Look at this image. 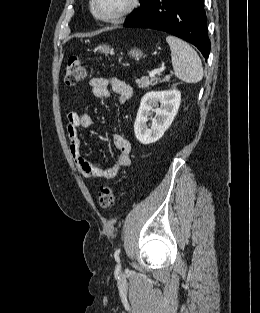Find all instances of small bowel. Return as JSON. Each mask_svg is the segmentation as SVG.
Returning a JSON list of instances; mask_svg holds the SVG:
<instances>
[{"instance_id":"small-bowel-1","label":"small bowel","mask_w":260,"mask_h":313,"mask_svg":"<svg viewBox=\"0 0 260 313\" xmlns=\"http://www.w3.org/2000/svg\"><path fill=\"white\" fill-rule=\"evenodd\" d=\"M92 94L97 98H108L111 92L118 96L120 104H125L132 96L131 87L118 78L95 77L90 81ZM67 134L69 151L75 162L78 172L86 179H114L119 173L131 165V143L122 134H114L113 146L118 152L114 165L100 167L89 162L81 154L80 128H89L92 125V117L86 112L70 111L67 113Z\"/></svg>"}]
</instances>
